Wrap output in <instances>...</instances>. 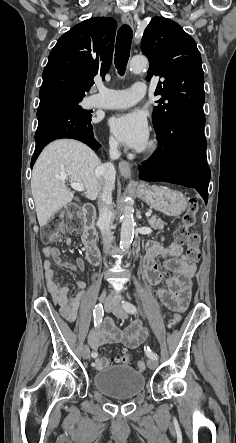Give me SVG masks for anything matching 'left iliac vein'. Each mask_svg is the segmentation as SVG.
I'll return each mask as SVG.
<instances>
[{
    "mask_svg": "<svg viewBox=\"0 0 236 443\" xmlns=\"http://www.w3.org/2000/svg\"><path fill=\"white\" fill-rule=\"evenodd\" d=\"M112 313L121 319H126L128 317L126 311L123 309L120 305H113V308L111 309ZM158 366V361L156 359H149L148 360V367L150 369H155Z\"/></svg>",
    "mask_w": 236,
    "mask_h": 443,
    "instance_id": "4c4485c4",
    "label": "left iliac vein"
}]
</instances>
